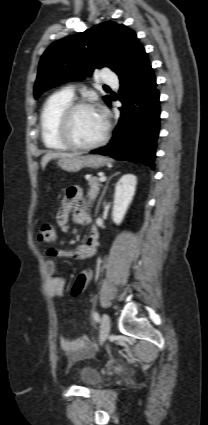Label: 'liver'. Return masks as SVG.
I'll return each mask as SVG.
<instances>
[{"mask_svg":"<svg viewBox=\"0 0 208 425\" xmlns=\"http://www.w3.org/2000/svg\"><path fill=\"white\" fill-rule=\"evenodd\" d=\"M79 154L80 153H58V152L47 153L46 155L42 157V160H41L42 169H44L47 163L52 159L75 157V156H78Z\"/></svg>","mask_w":208,"mask_h":425,"instance_id":"1","label":"liver"}]
</instances>
